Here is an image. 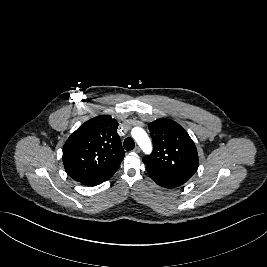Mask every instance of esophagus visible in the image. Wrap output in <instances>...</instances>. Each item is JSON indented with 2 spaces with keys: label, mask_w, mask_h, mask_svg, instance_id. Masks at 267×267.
<instances>
[{
  "label": "esophagus",
  "mask_w": 267,
  "mask_h": 267,
  "mask_svg": "<svg viewBox=\"0 0 267 267\" xmlns=\"http://www.w3.org/2000/svg\"><path fill=\"white\" fill-rule=\"evenodd\" d=\"M133 151H134L135 153H139V152L141 151V149H140L139 146H136V147L133 149Z\"/></svg>",
  "instance_id": "esophagus-1"
}]
</instances>
